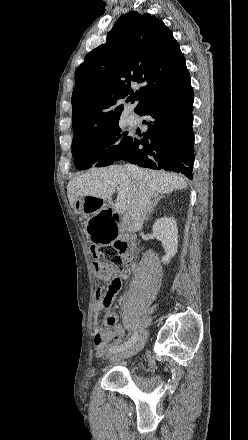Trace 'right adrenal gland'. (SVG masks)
<instances>
[{
	"instance_id": "2a0ac1e0",
	"label": "right adrenal gland",
	"mask_w": 248,
	"mask_h": 440,
	"mask_svg": "<svg viewBox=\"0 0 248 440\" xmlns=\"http://www.w3.org/2000/svg\"><path fill=\"white\" fill-rule=\"evenodd\" d=\"M164 196H160V195H155L154 197H153V200H152V202H151V206H150V209H149V212H148V214H147V216H146V221H148L149 220V218H150V216H151V213L154 211V208L157 206V204H158V202L160 201V199H162Z\"/></svg>"
}]
</instances>
